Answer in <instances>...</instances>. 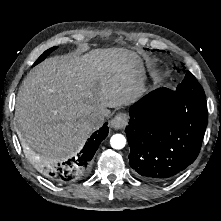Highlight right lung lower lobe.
Returning a JSON list of instances; mask_svg holds the SVG:
<instances>
[{"label": "right lung lower lobe", "mask_w": 221, "mask_h": 221, "mask_svg": "<svg viewBox=\"0 0 221 221\" xmlns=\"http://www.w3.org/2000/svg\"><path fill=\"white\" fill-rule=\"evenodd\" d=\"M108 132L109 129L105 123L88 139L76 157L60 163L41 162L38 164L39 171L47 178L59 183H68L80 179L87 173L99 144L107 137Z\"/></svg>", "instance_id": "right-lung-lower-lobe-1"}]
</instances>
